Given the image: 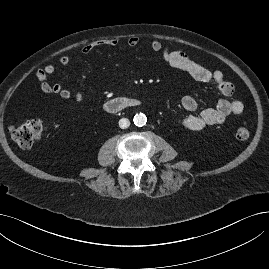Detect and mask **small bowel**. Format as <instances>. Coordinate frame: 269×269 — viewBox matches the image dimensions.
Masks as SVG:
<instances>
[{
	"label": "small bowel",
	"instance_id": "1",
	"mask_svg": "<svg viewBox=\"0 0 269 269\" xmlns=\"http://www.w3.org/2000/svg\"><path fill=\"white\" fill-rule=\"evenodd\" d=\"M138 43L139 40L136 37H130L127 40V45L130 48H135ZM118 44L119 41L116 38L90 42L82 48V53L88 55L99 46L114 48L117 47ZM150 48L155 52L161 53L163 61L170 67L187 73L197 81L214 83L222 95L229 97L234 93V85L225 79L224 74L221 71L209 70L192 60L185 52L171 50L159 40L151 41ZM69 63L70 58L67 55H63L60 58V64L63 67H68ZM54 72L55 67L52 64H48L45 67L38 69L36 72L37 83L45 94L59 95L65 99L74 98L79 102L89 101L93 97L92 93L74 91L59 83H50L48 79ZM181 106L186 111H193L197 107V101L193 96L187 95L182 98ZM243 112L244 104L242 101L223 98L216 103L215 107L205 109L197 115H189L181 118L177 122L180 126L186 129L197 131L207 126L223 124L229 116L240 115Z\"/></svg>",
	"mask_w": 269,
	"mask_h": 269
}]
</instances>
